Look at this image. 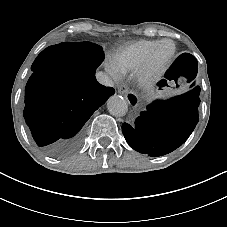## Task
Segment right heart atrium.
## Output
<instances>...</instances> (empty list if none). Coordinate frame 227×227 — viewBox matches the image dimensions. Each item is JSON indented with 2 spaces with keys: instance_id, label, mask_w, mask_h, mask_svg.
Listing matches in <instances>:
<instances>
[{
  "instance_id": "d8ad5b80",
  "label": "right heart atrium",
  "mask_w": 227,
  "mask_h": 227,
  "mask_svg": "<svg viewBox=\"0 0 227 227\" xmlns=\"http://www.w3.org/2000/svg\"><path fill=\"white\" fill-rule=\"evenodd\" d=\"M106 70L115 80H119L123 77V70L114 63L106 64Z\"/></svg>"
}]
</instances>
